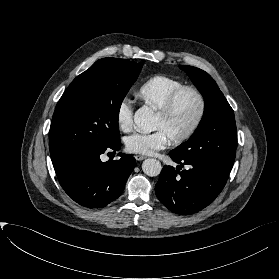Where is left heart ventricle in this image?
I'll list each match as a JSON object with an SVG mask.
<instances>
[{
	"label": "left heart ventricle",
	"mask_w": 279,
	"mask_h": 279,
	"mask_svg": "<svg viewBox=\"0 0 279 279\" xmlns=\"http://www.w3.org/2000/svg\"><path fill=\"white\" fill-rule=\"evenodd\" d=\"M199 109L196 96L185 92L179 96L167 117L156 115L154 129L162 130L170 140L184 133L193 123Z\"/></svg>",
	"instance_id": "obj_1"
}]
</instances>
